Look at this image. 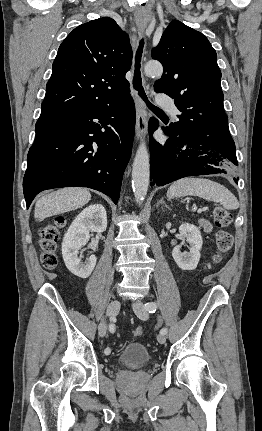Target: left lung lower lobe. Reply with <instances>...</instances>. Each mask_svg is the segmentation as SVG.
I'll list each match as a JSON object with an SVG mask.
<instances>
[{"label": "left lung lower lobe", "instance_id": "0a47b994", "mask_svg": "<svg viewBox=\"0 0 262 431\" xmlns=\"http://www.w3.org/2000/svg\"><path fill=\"white\" fill-rule=\"evenodd\" d=\"M159 126L155 118L149 121V134ZM169 136L165 144L150 137L151 186H163L175 180L198 175L233 174L238 165L235 144L227 135L220 144H209L188 139L163 128ZM237 182V177L233 178Z\"/></svg>", "mask_w": 262, "mask_h": 431}]
</instances>
